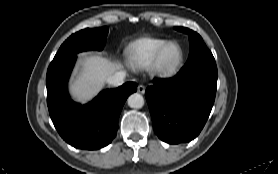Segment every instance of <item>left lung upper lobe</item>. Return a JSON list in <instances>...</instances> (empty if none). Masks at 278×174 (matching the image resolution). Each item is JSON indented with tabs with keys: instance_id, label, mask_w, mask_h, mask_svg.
<instances>
[{
	"instance_id": "obj_1",
	"label": "left lung upper lobe",
	"mask_w": 278,
	"mask_h": 174,
	"mask_svg": "<svg viewBox=\"0 0 278 174\" xmlns=\"http://www.w3.org/2000/svg\"><path fill=\"white\" fill-rule=\"evenodd\" d=\"M175 29L189 35L190 54L189 59L182 71L194 68H205L210 71L217 72L215 59L210 50L205 45L201 36L188 28L176 27Z\"/></svg>"
}]
</instances>
